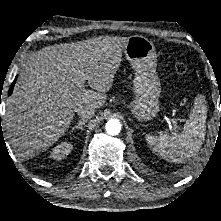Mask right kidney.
Masks as SVG:
<instances>
[{
	"mask_svg": "<svg viewBox=\"0 0 221 221\" xmlns=\"http://www.w3.org/2000/svg\"><path fill=\"white\" fill-rule=\"evenodd\" d=\"M71 150L72 145L70 143L64 142L52 149L50 157L56 160H61L67 157L70 154Z\"/></svg>",
	"mask_w": 221,
	"mask_h": 221,
	"instance_id": "obj_1",
	"label": "right kidney"
}]
</instances>
